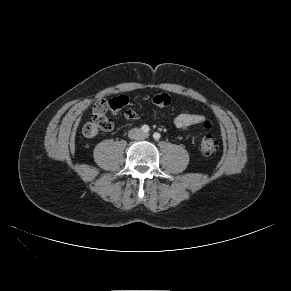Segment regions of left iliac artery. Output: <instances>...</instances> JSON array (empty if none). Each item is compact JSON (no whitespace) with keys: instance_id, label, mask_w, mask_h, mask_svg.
I'll list each match as a JSON object with an SVG mask.
<instances>
[{"instance_id":"44dca946","label":"left iliac artery","mask_w":291,"mask_h":291,"mask_svg":"<svg viewBox=\"0 0 291 291\" xmlns=\"http://www.w3.org/2000/svg\"><path fill=\"white\" fill-rule=\"evenodd\" d=\"M160 137H161V135H160V133H158V132H155V133L153 134V138H154L155 140H159Z\"/></svg>"}]
</instances>
